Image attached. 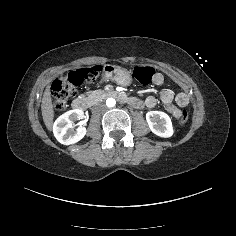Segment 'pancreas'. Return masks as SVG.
I'll return each mask as SVG.
<instances>
[{"instance_id": "1", "label": "pancreas", "mask_w": 236, "mask_h": 236, "mask_svg": "<svg viewBox=\"0 0 236 236\" xmlns=\"http://www.w3.org/2000/svg\"><path fill=\"white\" fill-rule=\"evenodd\" d=\"M88 104H93L96 101H102L108 97L107 91H91L82 95Z\"/></svg>"}]
</instances>
